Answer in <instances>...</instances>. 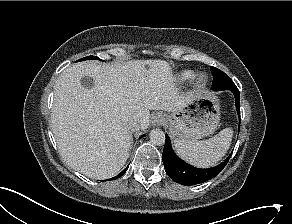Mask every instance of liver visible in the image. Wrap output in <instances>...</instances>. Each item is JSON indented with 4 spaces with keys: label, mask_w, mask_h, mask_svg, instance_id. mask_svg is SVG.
<instances>
[{
    "label": "liver",
    "mask_w": 292,
    "mask_h": 224,
    "mask_svg": "<svg viewBox=\"0 0 292 224\" xmlns=\"http://www.w3.org/2000/svg\"><path fill=\"white\" fill-rule=\"evenodd\" d=\"M89 76L93 87L81 79ZM193 98L180 95L168 62L132 60L98 65L69 66L54 87L51 126L62 158L89 178L117 174L129 157L128 119L147 129L149 110L176 112Z\"/></svg>",
    "instance_id": "1"
}]
</instances>
